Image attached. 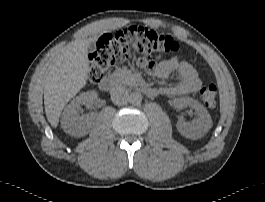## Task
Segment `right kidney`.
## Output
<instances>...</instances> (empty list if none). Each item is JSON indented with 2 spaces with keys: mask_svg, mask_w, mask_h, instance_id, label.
<instances>
[{
  "mask_svg": "<svg viewBox=\"0 0 265 202\" xmlns=\"http://www.w3.org/2000/svg\"><path fill=\"white\" fill-rule=\"evenodd\" d=\"M97 96L96 91L83 92L65 107L61 117V127L66 133L74 137H82L88 134L97 115L91 113L81 117L78 110L81 105L92 103Z\"/></svg>",
  "mask_w": 265,
  "mask_h": 202,
  "instance_id": "obj_1",
  "label": "right kidney"
}]
</instances>
